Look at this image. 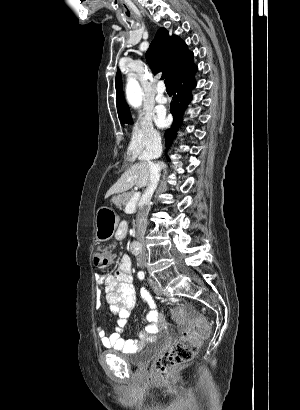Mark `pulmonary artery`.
Listing matches in <instances>:
<instances>
[{
  "mask_svg": "<svg viewBox=\"0 0 300 410\" xmlns=\"http://www.w3.org/2000/svg\"><path fill=\"white\" fill-rule=\"evenodd\" d=\"M156 101L160 104H165L168 101V97L165 93V86L161 82L157 85Z\"/></svg>",
  "mask_w": 300,
  "mask_h": 410,
  "instance_id": "e3ab8cb5",
  "label": "pulmonary artery"
}]
</instances>
